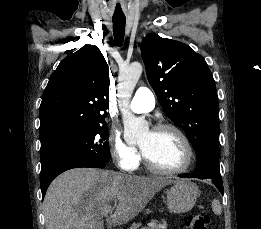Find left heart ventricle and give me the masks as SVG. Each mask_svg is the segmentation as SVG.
Here are the masks:
<instances>
[{
    "label": "left heart ventricle",
    "mask_w": 261,
    "mask_h": 229,
    "mask_svg": "<svg viewBox=\"0 0 261 229\" xmlns=\"http://www.w3.org/2000/svg\"><path fill=\"white\" fill-rule=\"evenodd\" d=\"M139 145L155 166L164 169H175L184 161V149L178 136L171 131L146 132Z\"/></svg>",
    "instance_id": "obj_1"
}]
</instances>
